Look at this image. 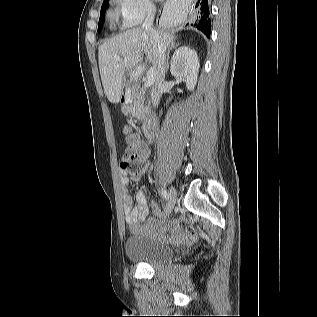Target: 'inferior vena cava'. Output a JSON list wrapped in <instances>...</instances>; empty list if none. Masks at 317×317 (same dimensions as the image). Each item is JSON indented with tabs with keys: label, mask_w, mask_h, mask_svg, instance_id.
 Returning a JSON list of instances; mask_svg holds the SVG:
<instances>
[{
	"label": "inferior vena cava",
	"mask_w": 317,
	"mask_h": 317,
	"mask_svg": "<svg viewBox=\"0 0 317 317\" xmlns=\"http://www.w3.org/2000/svg\"><path fill=\"white\" fill-rule=\"evenodd\" d=\"M156 14V7L149 5L147 8V16L143 22L142 29L149 35L154 49L156 51V69H155V84L151 90V101L155 108L158 106L163 93L165 72H166V56L165 49L160 40L158 33L153 29V22Z\"/></svg>",
	"instance_id": "1"
}]
</instances>
